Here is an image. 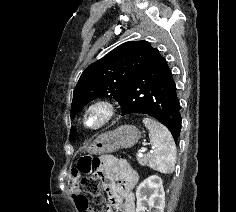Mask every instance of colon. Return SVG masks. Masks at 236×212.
<instances>
[{"instance_id":"1","label":"colon","mask_w":236,"mask_h":212,"mask_svg":"<svg viewBox=\"0 0 236 212\" xmlns=\"http://www.w3.org/2000/svg\"><path fill=\"white\" fill-rule=\"evenodd\" d=\"M78 166L86 174L80 182L82 190L91 195L96 202H101L102 186L100 177L95 172V161L91 157H86L79 161Z\"/></svg>"}]
</instances>
